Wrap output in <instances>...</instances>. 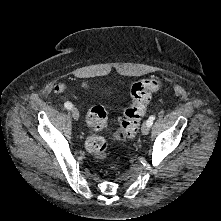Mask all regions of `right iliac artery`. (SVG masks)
<instances>
[{"instance_id":"1","label":"right iliac artery","mask_w":221,"mask_h":221,"mask_svg":"<svg viewBox=\"0 0 221 221\" xmlns=\"http://www.w3.org/2000/svg\"><path fill=\"white\" fill-rule=\"evenodd\" d=\"M64 106H65V108H66L67 110H71V109L73 108V105H72V103H70V102H65V103H64Z\"/></svg>"}]
</instances>
